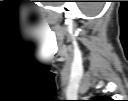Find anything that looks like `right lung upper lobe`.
Instances as JSON below:
<instances>
[{
  "label": "right lung upper lobe",
  "instance_id": "right-lung-upper-lobe-1",
  "mask_svg": "<svg viewBox=\"0 0 128 101\" xmlns=\"http://www.w3.org/2000/svg\"><path fill=\"white\" fill-rule=\"evenodd\" d=\"M100 100L107 101V100H109V98L108 97H100Z\"/></svg>",
  "mask_w": 128,
  "mask_h": 101
}]
</instances>
